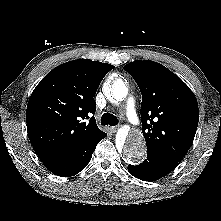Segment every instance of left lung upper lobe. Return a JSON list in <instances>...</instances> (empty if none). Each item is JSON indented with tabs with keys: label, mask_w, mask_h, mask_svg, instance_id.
<instances>
[{
	"label": "left lung upper lobe",
	"mask_w": 221,
	"mask_h": 221,
	"mask_svg": "<svg viewBox=\"0 0 221 221\" xmlns=\"http://www.w3.org/2000/svg\"><path fill=\"white\" fill-rule=\"evenodd\" d=\"M142 93V132L147 150L180 161L192 145L199 110L189 87L163 65L139 60L124 67Z\"/></svg>",
	"instance_id": "left-lung-upper-lobe-1"
}]
</instances>
